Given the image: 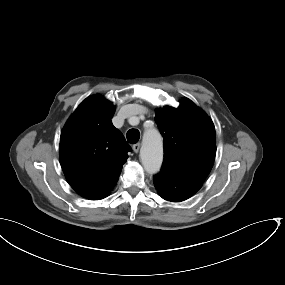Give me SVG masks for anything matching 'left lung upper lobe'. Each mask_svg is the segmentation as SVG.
I'll return each mask as SVG.
<instances>
[{
  "label": "left lung upper lobe",
  "instance_id": "obj_1",
  "mask_svg": "<svg viewBox=\"0 0 285 285\" xmlns=\"http://www.w3.org/2000/svg\"><path fill=\"white\" fill-rule=\"evenodd\" d=\"M155 122L164 143L161 171L202 184L216 154L212 120L191 100L183 98L178 108L156 110Z\"/></svg>",
  "mask_w": 285,
  "mask_h": 285
}]
</instances>
